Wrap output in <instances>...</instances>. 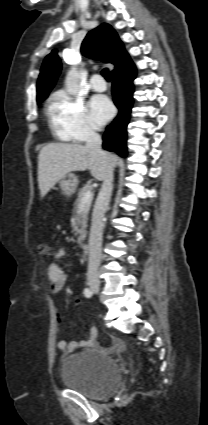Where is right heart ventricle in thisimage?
<instances>
[{
  "instance_id": "e07e8e85",
  "label": "right heart ventricle",
  "mask_w": 208,
  "mask_h": 425,
  "mask_svg": "<svg viewBox=\"0 0 208 425\" xmlns=\"http://www.w3.org/2000/svg\"><path fill=\"white\" fill-rule=\"evenodd\" d=\"M49 112H50V114H52V113H51V109H49ZM57 134H58V136H59L61 139H63V140H67V139H68L65 135H63V134H61V133H59V132H57Z\"/></svg>"
}]
</instances>
